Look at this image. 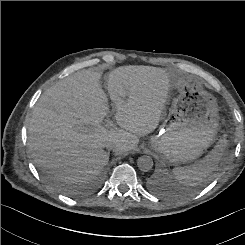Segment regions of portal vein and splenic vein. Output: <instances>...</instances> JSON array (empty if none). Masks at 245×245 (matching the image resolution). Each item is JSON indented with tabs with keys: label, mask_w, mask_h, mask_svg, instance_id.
Listing matches in <instances>:
<instances>
[{
	"label": "portal vein and splenic vein",
	"mask_w": 245,
	"mask_h": 245,
	"mask_svg": "<svg viewBox=\"0 0 245 245\" xmlns=\"http://www.w3.org/2000/svg\"><path fill=\"white\" fill-rule=\"evenodd\" d=\"M105 126L107 127V128H111L112 126H113V121L111 120V119H106L105 120Z\"/></svg>",
	"instance_id": "obj_1"
}]
</instances>
